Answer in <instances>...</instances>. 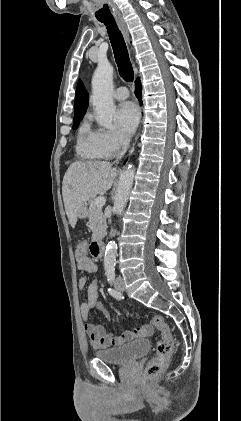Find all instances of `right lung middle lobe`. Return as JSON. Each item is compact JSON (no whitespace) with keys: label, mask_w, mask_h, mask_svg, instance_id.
<instances>
[{"label":"right lung middle lobe","mask_w":241,"mask_h":421,"mask_svg":"<svg viewBox=\"0 0 241 421\" xmlns=\"http://www.w3.org/2000/svg\"><path fill=\"white\" fill-rule=\"evenodd\" d=\"M83 117H78V118H74L73 120V129H77V127L79 126L80 121L82 120Z\"/></svg>","instance_id":"obj_1"}]
</instances>
